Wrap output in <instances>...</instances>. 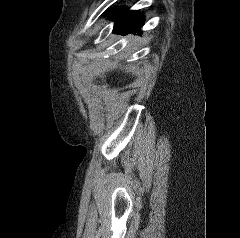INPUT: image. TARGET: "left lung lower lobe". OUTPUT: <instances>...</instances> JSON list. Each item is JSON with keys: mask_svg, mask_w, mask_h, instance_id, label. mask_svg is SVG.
I'll list each match as a JSON object with an SVG mask.
<instances>
[{"mask_svg": "<svg viewBox=\"0 0 240 238\" xmlns=\"http://www.w3.org/2000/svg\"><path fill=\"white\" fill-rule=\"evenodd\" d=\"M112 10L109 11L108 15L110 19L115 20L114 33L127 34L140 31L144 22V16L140 11H129L128 7H119L115 9V12Z\"/></svg>", "mask_w": 240, "mask_h": 238, "instance_id": "1", "label": "left lung lower lobe"}]
</instances>
